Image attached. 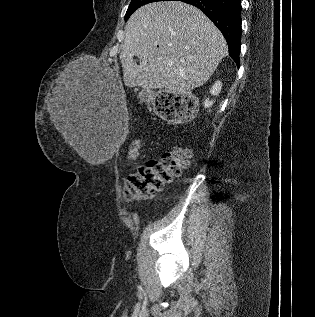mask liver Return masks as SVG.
<instances>
[{
    "mask_svg": "<svg viewBox=\"0 0 315 317\" xmlns=\"http://www.w3.org/2000/svg\"><path fill=\"white\" fill-rule=\"evenodd\" d=\"M227 54L222 33L196 7L179 1L148 4L136 10L125 26L120 53L123 81L127 87L186 94L207 82ZM54 94L50 119L85 157L83 120L72 89L60 84Z\"/></svg>",
    "mask_w": 315,
    "mask_h": 317,
    "instance_id": "6515ba94",
    "label": "liver"
}]
</instances>
